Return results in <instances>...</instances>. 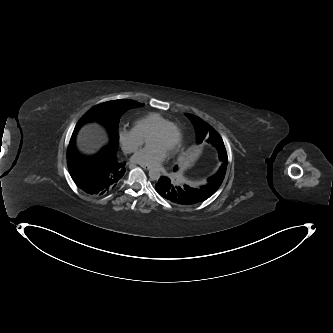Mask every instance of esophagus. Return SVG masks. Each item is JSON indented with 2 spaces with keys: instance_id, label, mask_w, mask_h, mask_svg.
Masks as SVG:
<instances>
[{
  "instance_id": "34e87169",
  "label": "esophagus",
  "mask_w": 333,
  "mask_h": 333,
  "mask_svg": "<svg viewBox=\"0 0 333 333\" xmlns=\"http://www.w3.org/2000/svg\"><path fill=\"white\" fill-rule=\"evenodd\" d=\"M141 167L145 170H150L151 169V166L146 165V164H141Z\"/></svg>"
}]
</instances>
